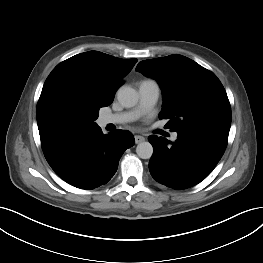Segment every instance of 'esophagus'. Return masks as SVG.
<instances>
[{"mask_svg": "<svg viewBox=\"0 0 263 263\" xmlns=\"http://www.w3.org/2000/svg\"><path fill=\"white\" fill-rule=\"evenodd\" d=\"M143 141H145V138H144L143 136H141V135H136V136H135V142H136V144H139V143H141V142H143Z\"/></svg>", "mask_w": 263, "mask_h": 263, "instance_id": "esophagus-1", "label": "esophagus"}]
</instances>
